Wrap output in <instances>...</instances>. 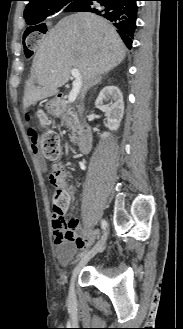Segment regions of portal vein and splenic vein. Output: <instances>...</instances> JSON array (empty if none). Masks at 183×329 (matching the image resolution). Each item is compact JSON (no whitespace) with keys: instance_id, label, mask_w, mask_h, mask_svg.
<instances>
[{"instance_id":"obj_1","label":"portal vein and splenic vein","mask_w":183,"mask_h":329,"mask_svg":"<svg viewBox=\"0 0 183 329\" xmlns=\"http://www.w3.org/2000/svg\"><path fill=\"white\" fill-rule=\"evenodd\" d=\"M70 72H71V75L75 78V80L73 82L72 90L70 91L69 96H68V102L72 103L76 100V98L79 94V91L82 87V76L78 69L73 68V69H71Z\"/></svg>"}]
</instances>
